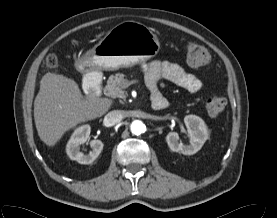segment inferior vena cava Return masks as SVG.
<instances>
[{
    "label": "inferior vena cava",
    "mask_w": 277,
    "mask_h": 218,
    "mask_svg": "<svg viewBox=\"0 0 277 218\" xmlns=\"http://www.w3.org/2000/svg\"><path fill=\"white\" fill-rule=\"evenodd\" d=\"M123 119V114L120 110L110 111L103 120L105 126H113Z\"/></svg>",
    "instance_id": "inferior-vena-cava-1"
}]
</instances>
